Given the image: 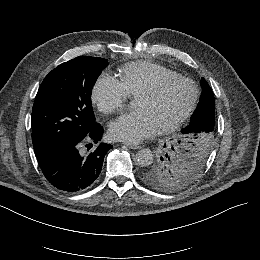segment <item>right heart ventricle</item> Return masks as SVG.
<instances>
[{
    "label": "right heart ventricle",
    "instance_id": "obj_1",
    "mask_svg": "<svg viewBox=\"0 0 260 260\" xmlns=\"http://www.w3.org/2000/svg\"><path fill=\"white\" fill-rule=\"evenodd\" d=\"M176 75V72L156 63L136 62L123 68L120 79L131 96L149 88L155 78Z\"/></svg>",
    "mask_w": 260,
    "mask_h": 260
}]
</instances>
